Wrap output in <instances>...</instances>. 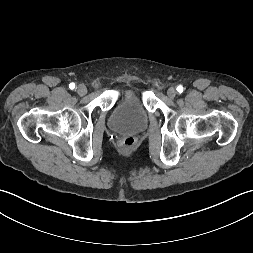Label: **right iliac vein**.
Instances as JSON below:
<instances>
[{
	"mask_svg": "<svg viewBox=\"0 0 253 253\" xmlns=\"http://www.w3.org/2000/svg\"><path fill=\"white\" fill-rule=\"evenodd\" d=\"M76 91L77 93L80 95V96H83L87 93V88L85 85L83 84H80L78 85V87L76 88Z\"/></svg>",
	"mask_w": 253,
	"mask_h": 253,
	"instance_id": "63e3f726",
	"label": "right iliac vein"
}]
</instances>
